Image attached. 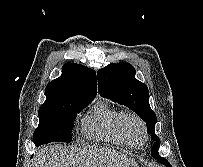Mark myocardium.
I'll return each mask as SVG.
<instances>
[{
    "instance_id": "obj_1",
    "label": "myocardium",
    "mask_w": 203,
    "mask_h": 167,
    "mask_svg": "<svg viewBox=\"0 0 203 167\" xmlns=\"http://www.w3.org/2000/svg\"><path fill=\"white\" fill-rule=\"evenodd\" d=\"M130 121H135L139 124L140 128H141V132H142V140L140 143H135L133 142V140L131 139L128 130H127V124ZM120 130L123 134V136L125 137V139L127 140V142L132 146V147H138V146H142L146 139H147V127H146V123L145 121L136 113H125L121 120H120Z\"/></svg>"
}]
</instances>
